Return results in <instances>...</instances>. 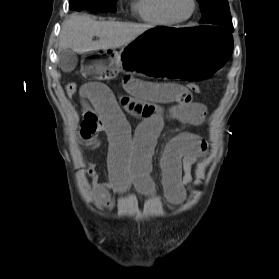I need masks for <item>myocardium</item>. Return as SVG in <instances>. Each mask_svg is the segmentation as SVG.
I'll return each instance as SVG.
<instances>
[{
	"mask_svg": "<svg viewBox=\"0 0 279 279\" xmlns=\"http://www.w3.org/2000/svg\"><path fill=\"white\" fill-rule=\"evenodd\" d=\"M162 1H163L162 5H163V9H164L165 13L172 20H174L176 22H184V21L189 20L193 16V14L195 13V11L197 9V1L196 0H191V2H192V9H191L190 13L187 16H185V17H178L170 9L169 0H162Z\"/></svg>",
	"mask_w": 279,
	"mask_h": 279,
	"instance_id": "myocardium-1",
	"label": "myocardium"
}]
</instances>
